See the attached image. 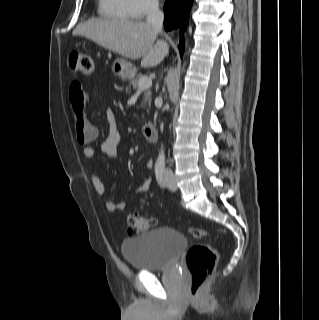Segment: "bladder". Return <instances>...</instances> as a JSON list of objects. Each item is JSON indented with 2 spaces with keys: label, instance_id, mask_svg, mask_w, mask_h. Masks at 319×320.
I'll use <instances>...</instances> for the list:
<instances>
[{
  "label": "bladder",
  "instance_id": "obj_1",
  "mask_svg": "<svg viewBox=\"0 0 319 320\" xmlns=\"http://www.w3.org/2000/svg\"><path fill=\"white\" fill-rule=\"evenodd\" d=\"M187 246L188 241L181 231L156 228L125 239L121 248L133 270L152 272L170 268Z\"/></svg>",
  "mask_w": 319,
  "mask_h": 320
}]
</instances>
